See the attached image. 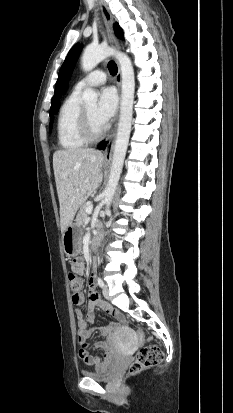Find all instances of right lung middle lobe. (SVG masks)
Segmentation results:
<instances>
[{
    "label": "right lung middle lobe",
    "mask_w": 233,
    "mask_h": 413,
    "mask_svg": "<svg viewBox=\"0 0 233 413\" xmlns=\"http://www.w3.org/2000/svg\"><path fill=\"white\" fill-rule=\"evenodd\" d=\"M57 110L54 111V113H56ZM52 121H53V117H51V123H50V128H52Z\"/></svg>",
    "instance_id": "dd1d6c3e"
}]
</instances>
